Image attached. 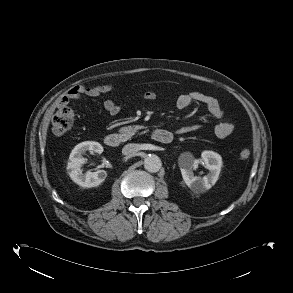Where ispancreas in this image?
I'll return each instance as SVG.
<instances>
[{
	"label": "pancreas",
	"mask_w": 293,
	"mask_h": 293,
	"mask_svg": "<svg viewBox=\"0 0 293 293\" xmlns=\"http://www.w3.org/2000/svg\"><path fill=\"white\" fill-rule=\"evenodd\" d=\"M141 128L142 126L121 127L119 132L124 136L125 139H129Z\"/></svg>",
	"instance_id": "obj_1"
}]
</instances>
